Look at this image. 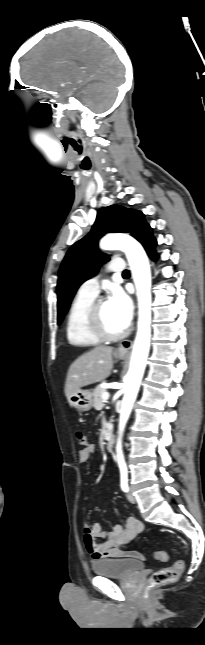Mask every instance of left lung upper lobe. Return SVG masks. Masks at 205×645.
I'll use <instances>...</instances> for the list:
<instances>
[{"label": "left lung upper lobe", "mask_w": 205, "mask_h": 645, "mask_svg": "<svg viewBox=\"0 0 205 645\" xmlns=\"http://www.w3.org/2000/svg\"><path fill=\"white\" fill-rule=\"evenodd\" d=\"M149 229L141 211L120 205L103 207L98 211L90 233L69 249L61 264L57 284L58 324L66 315L79 286L95 276L101 264L109 261V257L99 251L98 240L106 233L120 232L128 233L140 242Z\"/></svg>", "instance_id": "5c2ea615"}]
</instances>
